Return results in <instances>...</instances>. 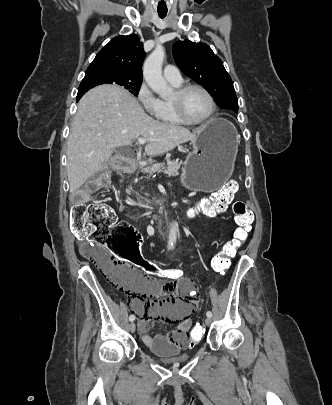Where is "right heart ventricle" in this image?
I'll use <instances>...</instances> for the list:
<instances>
[{
    "instance_id": "right-heart-ventricle-1",
    "label": "right heart ventricle",
    "mask_w": 332,
    "mask_h": 405,
    "mask_svg": "<svg viewBox=\"0 0 332 405\" xmlns=\"http://www.w3.org/2000/svg\"><path fill=\"white\" fill-rule=\"evenodd\" d=\"M171 83V82H170ZM174 87L178 88L180 84L171 83ZM158 120L163 123L169 124H180L181 122L177 119L170 100H160V111L157 116Z\"/></svg>"
}]
</instances>
